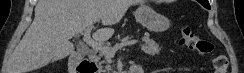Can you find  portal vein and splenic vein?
<instances>
[{
	"instance_id": "obj_1",
	"label": "portal vein and splenic vein",
	"mask_w": 244,
	"mask_h": 73,
	"mask_svg": "<svg viewBox=\"0 0 244 73\" xmlns=\"http://www.w3.org/2000/svg\"><path fill=\"white\" fill-rule=\"evenodd\" d=\"M93 28V25H90L89 27H87L84 32H83V41L89 45L90 47H92L94 50L99 51V52H103L106 53L109 56H113L115 55L116 51L122 49L123 47L126 46H131L136 44L138 41L137 40H131V41H124L114 47H108L103 45L102 43H100L98 40L96 39H92L91 38V30Z\"/></svg>"
}]
</instances>
